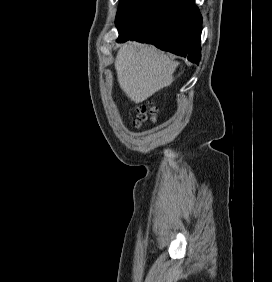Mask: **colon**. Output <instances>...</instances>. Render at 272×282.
Instances as JSON below:
<instances>
[{"mask_svg":"<svg viewBox=\"0 0 272 282\" xmlns=\"http://www.w3.org/2000/svg\"><path fill=\"white\" fill-rule=\"evenodd\" d=\"M155 112L152 109L142 108L138 111L136 118L133 120L135 126H139L141 123L148 121L154 116Z\"/></svg>","mask_w":272,"mask_h":282,"instance_id":"colon-1","label":"colon"}]
</instances>
